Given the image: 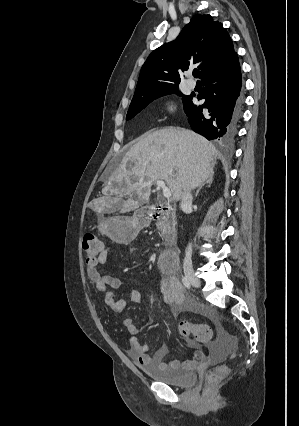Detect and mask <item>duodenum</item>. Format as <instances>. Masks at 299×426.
I'll list each match as a JSON object with an SVG mask.
<instances>
[{"mask_svg":"<svg viewBox=\"0 0 299 426\" xmlns=\"http://www.w3.org/2000/svg\"><path fill=\"white\" fill-rule=\"evenodd\" d=\"M161 207L159 205L152 206L146 213V219H151L156 215ZM178 265V256L174 248L164 250L158 258V266L164 273H175Z\"/></svg>","mask_w":299,"mask_h":426,"instance_id":"410a0bca","label":"duodenum"}]
</instances>
